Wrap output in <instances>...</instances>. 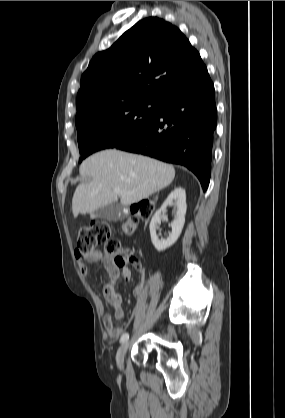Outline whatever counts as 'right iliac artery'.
Masks as SVG:
<instances>
[{"mask_svg": "<svg viewBox=\"0 0 285 418\" xmlns=\"http://www.w3.org/2000/svg\"><path fill=\"white\" fill-rule=\"evenodd\" d=\"M129 339V334L128 333H124L122 336H121V339H120V342L121 343H124L125 341H127Z\"/></svg>", "mask_w": 285, "mask_h": 418, "instance_id": "right-iliac-artery-1", "label": "right iliac artery"}]
</instances>
